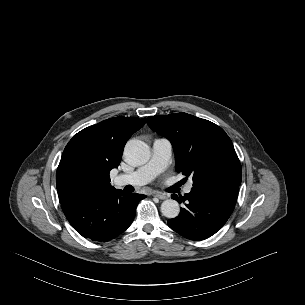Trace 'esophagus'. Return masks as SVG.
<instances>
[{
	"label": "esophagus",
	"instance_id": "obj_1",
	"mask_svg": "<svg viewBox=\"0 0 305 305\" xmlns=\"http://www.w3.org/2000/svg\"><path fill=\"white\" fill-rule=\"evenodd\" d=\"M153 195L161 200L167 199L168 196L166 194L160 192H154Z\"/></svg>",
	"mask_w": 305,
	"mask_h": 305
}]
</instances>
